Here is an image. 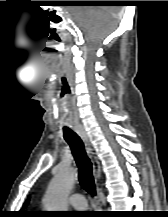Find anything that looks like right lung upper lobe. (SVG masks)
Here are the masks:
<instances>
[{"label":"right lung upper lobe","mask_w":168,"mask_h":217,"mask_svg":"<svg viewBox=\"0 0 168 217\" xmlns=\"http://www.w3.org/2000/svg\"><path fill=\"white\" fill-rule=\"evenodd\" d=\"M28 203V200L25 202L24 207L26 206V204ZM24 212V211H23ZM25 214V213H24Z\"/></svg>","instance_id":"cb5924a9"}]
</instances>
